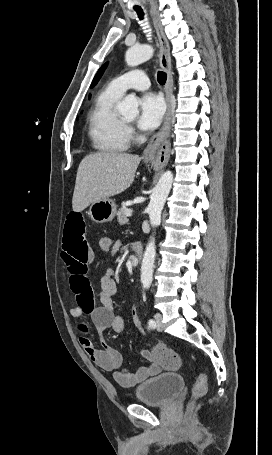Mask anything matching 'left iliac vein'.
<instances>
[{"mask_svg": "<svg viewBox=\"0 0 272 455\" xmlns=\"http://www.w3.org/2000/svg\"><path fill=\"white\" fill-rule=\"evenodd\" d=\"M154 317H155V321H156V329L158 331H162L163 327H162V316H161V314L156 313Z\"/></svg>", "mask_w": 272, "mask_h": 455, "instance_id": "left-iliac-vein-1", "label": "left iliac vein"}]
</instances>
